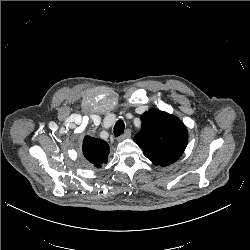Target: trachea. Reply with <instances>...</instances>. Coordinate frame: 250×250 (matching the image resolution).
<instances>
[{"mask_svg":"<svg viewBox=\"0 0 250 250\" xmlns=\"http://www.w3.org/2000/svg\"><path fill=\"white\" fill-rule=\"evenodd\" d=\"M124 122L122 120H118L114 126V135L118 137L124 133Z\"/></svg>","mask_w":250,"mask_h":250,"instance_id":"3493384b","label":"trachea"}]
</instances>
